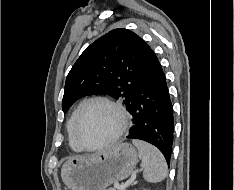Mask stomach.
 <instances>
[{"instance_id": "1", "label": "stomach", "mask_w": 234, "mask_h": 190, "mask_svg": "<svg viewBox=\"0 0 234 190\" xmlns=\"http://www.w3.org/2000/svg\"><path fill=\"white\" fill-rule=\"evenodd\" d=\"M138 162L130 143H119L101 153L73 157L61 168V178L70 190H105L129 177Z\"/></svg>"}]
</instances>
